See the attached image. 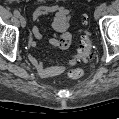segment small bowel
<instances>
[{"label": "small bowel", "instance_id": "c3829d8e", "mask_svg": "<svg viewBox=\"0 0 119 119\" xmlns=\"http://www.w3.org/2000/svg\"><path fill=\"white\" fill-rule=\"evenodd\" d=\"M50 17L52 20L53 29L60 33V35H53L48 38V42L54 46L63 50H67L70 46L71 35L67 32L70 22V11L64 6L53 4V5H39L33 10L32 19L34 25L32 27V35L29 39V46L36 48L38 46L36 39L44 38V31L40 26V20L43 17ZM29 60L35 67L39 75L43 78H51L62 74L66 68L65 65H52L48 66L44 64L33 54H30ZM75 61L72 59L68 62L67 66H73Z\"/></svg>", "mask_w": 119, "mask_h": 119}]
</instances>
